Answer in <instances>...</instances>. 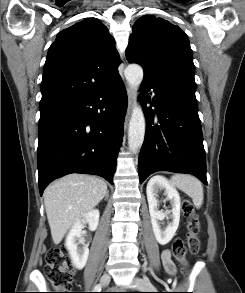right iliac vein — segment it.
Wrapping results in <instances>:
<instances>
[{
  "label": "right iliac vein",
  "mask_w": 245,
  "mask_h": 293,
  "mask_svg": "<svg viewBox=\"0 0 245 293\" xmlns=\"http://www.w3.org/2000/svg\"><path fill=\"white\" fill-rule=\"evenodd\" d=\"M110 282V275L109 274H104L101 279H100V283L102 286H107Z\"/></svg>",
  "instance_id": "1"
}]
</instances>
